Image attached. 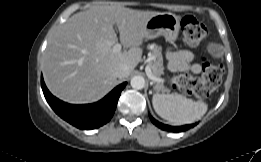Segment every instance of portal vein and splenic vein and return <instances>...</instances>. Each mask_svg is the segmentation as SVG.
<instances>
[{"label":"portal vein and splenic vein","instance_id":"18ae733b","mask_svg":"<svg viewBox=\"0 0 261 162\" xmlns=\"http://www.w3.org/2000/svg\"><path fill=\"white\" fill-rule=\"evenodd\" d=\"M121 48H122L121 44L116 43V44L113 46V52L118 53V52L121 51ZM145 71H146V74H147V76H148L149 79H151V80H153V81H155V82L164 81L163 79L158 78V77H156V76L153 75V73H152V71H151L150 65H147V66H146Z\"/></svg>","mask_w":261,"mask_h":162}]
</instances>
